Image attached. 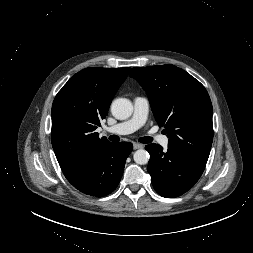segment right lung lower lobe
Returning <instances> with one entry per match:
<instances>
[{
  "instance_id": "right-lung-lower-lobe-1",
  "label": "right lung lower lobe",
  "mask_w": 253,
  "mask_h": 253,
  "mask_svg": "<svg viewBox=\"0 0 253 253\" xmlns=\"http://www.w3.org/2000/svg\"><path fill=\"white\" fill-rule=\"evenodd\" d=\"M132 149L129 142H107L94 153L81 172L68 181L83 194L106 196L118 186Z\"/></svg>"
}]
</instances>
